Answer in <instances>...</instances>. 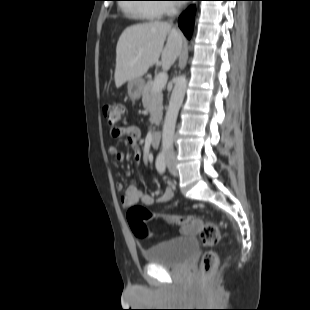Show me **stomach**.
<instances>
[{
  "instance_id": "stomach-1",
  "label": "stomach",
  "mask_w": 310,
  "mask_h": 310,
  "mask_svg": "<svg viewBox=\"0 0 310 310\" xmlns=\"http://www.w3.org/2000/svg\"><path fill=\"white\" fill-rule=\"evenodd\" d=\"M144 82L142 79H132L127 82V92L132 99H138L142 93Z\"/></svg>"
}]
</instances>
